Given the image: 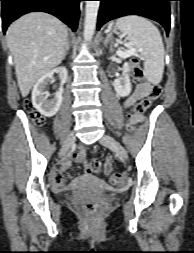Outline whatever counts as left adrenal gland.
I'll return each mask as SVG.
<instances>
[{
	"mask_svg": "<svg viewBox=\"0 0 194 253\" xmlns=\"http://www.w3.org/2000/svg\"><path fill=\"white\" fill-rule=\"evenodd\" d=\"M104 45L107 46L109 44L110 51L113 50V42H112V34L109 33L106 38L104 39Z\"/></svg>",
	"mask_w": 194,
	"mask_h": 253,
	"instance_id": "1",
	"label": "left adrenal gland"
}]
</instances>
